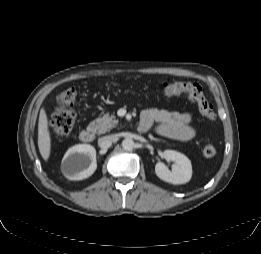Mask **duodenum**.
I'll return each instance as SVG.
<instances>
[{"label":"duodenum","mask_w":261,"mask_h":254,"mask_svg":"<svg viewBox=\"0 0 261 254\" xmlns=\"http://www.w3.org/2000/svg\"><path fill=\"white\" fill-rule=\"evenodd\" d=\"M140 129H144V128L140 127V125H139V131H140ZM140 132H142V131H140ZM94 137H95V130L93 128L84 129L79 134L80 140L85 143H89V142L93 141Z\"/></svg>","instance_id":"obj_1"}]
</instances>
